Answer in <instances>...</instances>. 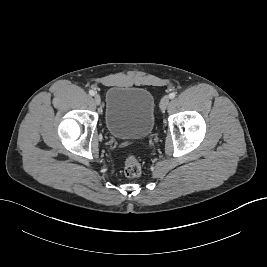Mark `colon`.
I'll return each instance as SVG.
<instances>
[{"label": "colon", "instance_id": "colon-1", "mask_svg": "<svg viewBox=\"0 0 267 267\" xmlns=\"http://www.w3.org/2000/svg\"><path fill=\"white\" fill-rule=\"evenodd\" d=\"M124 173L129 178H137L142 173V166L134 154H128L124 161Z\"/></svg>", "mask_w": 267, "mask_h": 267}]
</instances>
